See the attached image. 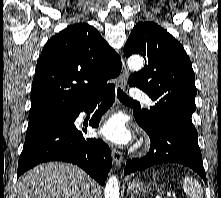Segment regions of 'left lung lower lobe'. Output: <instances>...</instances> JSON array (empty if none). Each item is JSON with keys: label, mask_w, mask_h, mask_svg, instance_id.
I'll use <instances>...</instances> for the list:
<instances>
[{"label": "left lung lower lobe", "mask_w": 221, "mask_h": 198, "mask_svg": "<svg viewBox=\"0 0 221 198\" xmlns=\"http://www.w3.org/2000/svg\"><path fill=\"white\" fill-rule=\"evenodd\" d=\"M135 116L137 123L151 139L150 152L139 159L128 160L124 173L130 174L162 163H178L197 172L206 182L198 133L167 124H150Z\"/></svg>", "instance_id": "left-lung-lower-lobe-1"}]
</instances>
